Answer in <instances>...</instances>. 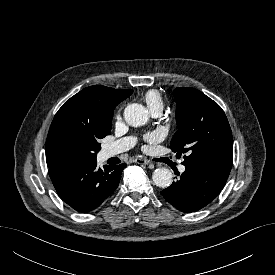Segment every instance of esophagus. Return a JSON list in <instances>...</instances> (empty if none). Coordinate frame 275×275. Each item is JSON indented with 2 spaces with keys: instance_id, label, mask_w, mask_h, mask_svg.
I'll return each instance as SVG.
<instances>
[{
  "instance_id": "34e87169",
  "label": "esophagus",
  "mask_w": 275,
  "mask_h": 275,
  "mask_svg": "<svg viewBox=\"0 0 275 275\" xmlns=\"http://www.w3.org/2000/svg\"><path fill=\"white\" fill-rule=\"evenodd\" d=\"M135 162L138 163V164H144V165H148L149 163H151L150 160L145 159V158H137L135 160Z\"/></svg>"
}]
</instances>
